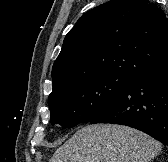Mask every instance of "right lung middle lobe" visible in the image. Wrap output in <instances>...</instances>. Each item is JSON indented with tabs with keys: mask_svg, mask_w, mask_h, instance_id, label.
Masks as SVG:
<instances>
[{
	"mask_svg": "<svg viewBox=\"0 0 168 162\" xmlns=\"http://www.w3.org/2000/svg\"><path fill=\"white\" fill-rule=\"evenodd\" d=\"M131 78L123 74H107L53 91L48 99L52 125L70 128L90 122Z\"/></svg>",
	"mask_w": 168,
	"mask_h": 162,
	"instance_id": "dd1d6c3e",
	"label": "right lung middle lobe"
}]
</instances>
